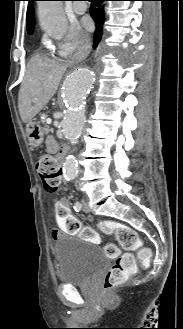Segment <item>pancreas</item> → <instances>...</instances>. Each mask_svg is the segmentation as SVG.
Here are the masks:
<instances>
[{
	"instance_id": "1",
	"label": "pancreas",
	"mask_w": 183,
	"mask_h": 329,
	"mask_svg": "<svg viewBox=\"0 0 183 329\" xmlns=\"http://www.w3.org/2000/svg\"><path fill=\"white\" fill-rule=\"evenodd\" d=\"M46 116L44 117V119L41 120L42 124L44 125V131L46 133H49L50 132V129H49V126L46 124Z\"/></svg>"
}]
</instances>
